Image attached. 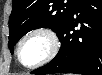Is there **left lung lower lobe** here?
Wrapping results in <instances>:
<instances>
[{
  "instance_id": "1",
  "label": "left lung lower lobe",
  "mask_w": 102,
  "mask_h": 75,
  "mask_svg": "<svg viewBox=\"0 0 102 75\" xmlns=\"http://www.w3.org/2000/svg\"><path fill=\"white\" fill-rule=\"evenodd\" d=\"M57 35L61 42L59 53L32 74L102 75L101 0H80Z\"/></svg>"
}]
</instances>
